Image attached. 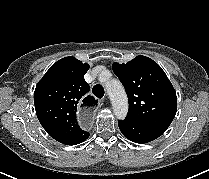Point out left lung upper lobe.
Segmentation results:
<instances>
[{
    "mask_svg": "<svg viewBox=\"0 0 209 179\" xmlns=\"http://www.w3.org/2000/svg\"><path fill=\"white\" fill-rule=\"evenodd\" d=\"M112 68L128 96L127 118L165 132L175 117L177 97L162 68L141 55Z\"/></svg>",
    "mask_w": 209,
    "mask_h": 179,
    "instance_id": "obj_1",
    "label": "left lung upper lobe"
}]
</instances>
